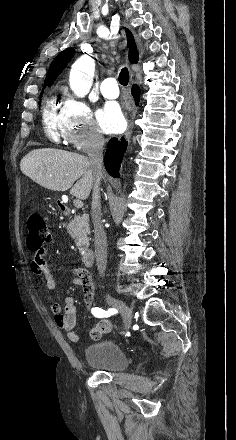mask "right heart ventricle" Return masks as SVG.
<instances>
[{
    "label": "right heart ventricle",
    "mask_w": 236,
    "mask_h": 440,
    "mask_svg": "<svg viewBox=\"0 0 236 440\" xmlns=\"http://www.w3.org/2000/svg\"><path fill=\"white\" fill-rule=\"evenodd\" d=\"M42 122L45 135L54 142L63 137L61 114L57 112L55 99L50 98L43 109Z\"/></svg>",
    "instance_id": "obj_1"
}]
</instances>
